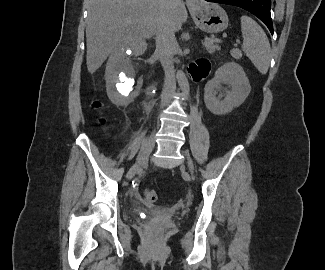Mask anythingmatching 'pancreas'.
Instances as JSON below:
<instances>
[{
	"instance_id": "pancreas-1",
	"label": "pancreas",
	"mask_w": 325,
	"mask_h": 270,
	"mask_svg": "<svg viewBox=\"0 0 325 270\" xmlns=\"http://www.w3.org/2000/svg\"><path fill=\"white\" fill-rule=\"evenodd\" d=\"M211 53L214 52L215 50H220V47L214 43H210L209 47H206ZM231 55L235 59L239 60L242 57V53L239 49H233L231 50Z\"/></svg>"
}]
</instances>
